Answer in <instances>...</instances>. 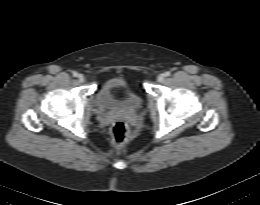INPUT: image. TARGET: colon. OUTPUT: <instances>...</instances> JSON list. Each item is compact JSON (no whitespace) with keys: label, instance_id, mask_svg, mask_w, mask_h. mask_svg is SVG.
<instances>
[{"label":"colon","instance_id":"colon-1","mask_svg":"<svg viewBox=\"0 0 260 205\" xmlns=\"http://www.w3.org/2000/svg\"><path fill=\"white\" fill-rule=\"evenodd\" d=\"M128 126L123 121H117L110 127V141L115 147L122 146L128 137Z\"/></svg>","mask_w":260,"mask_h":205}]
</instances>
